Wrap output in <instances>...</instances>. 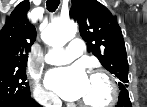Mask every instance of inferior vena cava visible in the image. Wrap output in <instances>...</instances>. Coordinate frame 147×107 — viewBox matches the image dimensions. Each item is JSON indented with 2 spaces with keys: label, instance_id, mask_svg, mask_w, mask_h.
I'll return each mask as SVG.
<instances>
[{
  "label": "inferior vena cava",
  "instance_id": "obj_1",
  "mask_svg": "<svg viewBox=\"0 0 147 107\" xmlns=\"http://www.w3.org/2000/svg\"><path fill=\"white\" fill-rule=\"evenodd\" d=\"M45 99H49L52 102V107H61L62 102L59 98L55 97V96H49V97H45Z\"/></svg>",
  "mask_w": 147,
  "mask_h": 107
}]
</instances>
